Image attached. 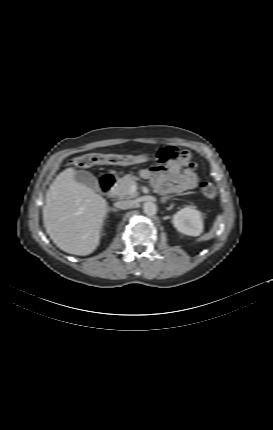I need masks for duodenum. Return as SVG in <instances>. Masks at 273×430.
I'll return each instance as SVG.
<instances>
[{
  "label": "duodenum",
  "instance_id": "410a0bca",
  "mask_svg": "<svg viewBox=\"0 0 273 430\" xmlns=\"http://www.w3.org/2000/svg\"><path fill=\"white\" fill-rule=\"evenodd\" d=\"M117 181V177L112 174L104 175L100 180V189L103 194H109L115 183Z\"/></svg>",
  "mask_w": 273,
  "mask_h": 430
}]
</instances>
